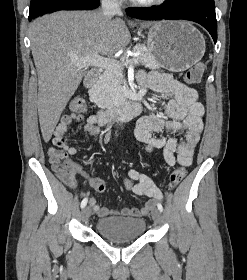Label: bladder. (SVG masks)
Instances as JSON below:
<instances>
[{
    "instance_id": "bladder-1",
    "label": "bladder",
    "mask_w": 247,
    "mask_h": 280,
    "mask_svg": "<svg viewBox=\"0 0 247 280\" xmlns=\"http://www.w3.org/2000/svg\"><path fill=\"white\" fill-rule=\"evenodd\" d=\"M95 228L100 236L123 242L140 238L145 232L146 222L142 218L114 216L97 220Z\"/></svg>"
}]
</instances>
